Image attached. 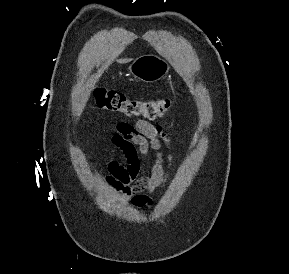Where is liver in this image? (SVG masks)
<instances>
[{
    "mask_svg": "<svg viewBox=\"0 0 289 274\" xmlns=\"http://www.w3.org/2000/svg\"><path fill=\"white\" fill-rule=\"evenodd\" d=\"M129 61H130V59H119L118 60V62L121 63V64L127 63Z\"/></svg>",
    "mask_w": 289,
    "mask_h": 274,
    "instance_id": "obj_1",
    "label": "liver"
}]
</instances>
